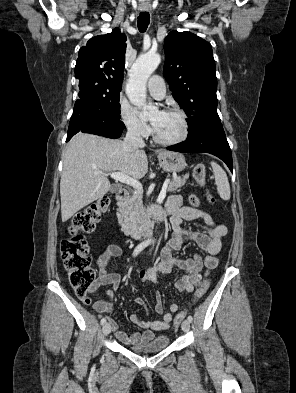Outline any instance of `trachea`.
Listing matches in <instances>:
<instances>
[{"instance_id": "obj_1", "label": "trachea", "mask_w": 296, "mask_h": 393, "mask_svg": "<svg viewBox=\"0 0 296 393\" xmlns=\"http://www.w3.org/2000/svg\"><path fill=\"white\" fill-rule=\"evenodd\" d=\"M150 23V15L148 12L140 13L137 21V26L140 32H145Z\"/></svg>"}]
</instances>
